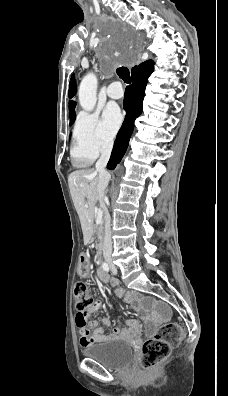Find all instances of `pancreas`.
<instances>
[{
  "mask_svg": "<svg viewBox=\"0 0 228 396\" xmlns=\"http://www.w3.org/2000/svg\"><path fill=\"white\" fill-rule=\"evenodd\" d=\"M91 227H92V232H93L94 236H96V237L92 238L90 242L92 243L93 240L97 239L98 243L96 245V249L98 251V254H100L101 250H102V242H103V235H104L103 224L101 222L100 224H98V226L96 228H93V218H92Z\"/></svg>",
  "mask_w": 228,
  "mask_h": 396,
  "instance_id": "1",
  "label": "pancreas"
}]
</instances>
